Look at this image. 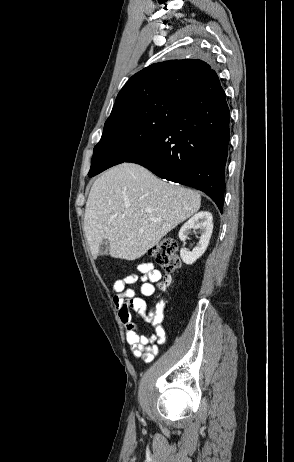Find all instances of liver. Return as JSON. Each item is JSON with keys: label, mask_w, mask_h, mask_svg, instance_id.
I'll return each mask as SVG.
<instances>
[{"label": "liver", "mask_w": 294, "mask_h": 462, "mask_svg": "<svg viewBox=\"0 0 294 462\" xmlns=\"http://www.w3.org/2000/svg\"><path fill=\"white\" fill-rule=\"evenodd\" d=\"M201 205L198 192L162 181L146 168L122 163L93 183L84 214L92 255L109 241L113 258L135 260Z\"/></svg>", "instance_id": "1"}]
</instances>
